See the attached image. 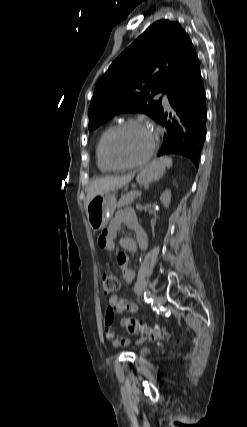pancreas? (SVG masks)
<instances>
[{"instance_id":"cf45deb5","label":"pancreas","mask_w":247,"mask_h":427,"mask_svg":"<svg viewBox=\"0 0 247 427\" xmlns=\"http://www.w3.org/2000/svg\"><path fill=\"white\" fill-rule=\"evenodd\" d=\"M139 196H140V194L138 193V191H131L119 199V201L117 203V207L120 208L122 206L129 205L132 202H134V200L136 198H138Z\"/></svg>"}]
</instances>
